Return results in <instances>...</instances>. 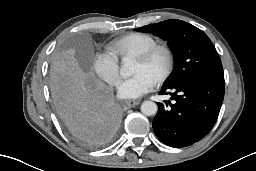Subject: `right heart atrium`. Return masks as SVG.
I'll list each match as a JSON object with an SVG mask.
<instances>
[{
  "label": "right heart atrium",
  "mask_w": 256,
  "mask_h": 171,
  "mask_svg": "<svg viewBox=\"0 0 256 171\" xmlns=\"http://www.w3.org/2000/svg\"><path fill=\"white\" fill-rule=\"evenodd\" d=\"M94 72L110 85H116L119 80V59L110 51L97 52L92 59Z\"/></svg>",
  "instance_id": "1"
}]
</instances>
